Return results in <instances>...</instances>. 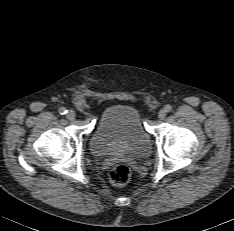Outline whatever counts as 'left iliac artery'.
<instances>
[{
	"label": "left iliac artery",
	"instance_id": "44dca946",
	"mask_svg": "<svg viewBox=\"0 0 234 231\" xmlns=\"http://www.w3.org/2000/svg\"><path fill=\"white\" fill-rule=\"evenodd\" d=\"M165 110H166V112H171V110H172V106L171 105H166L165 106Z\"/></svg>",
	"mask_w": 234,
	"mask_h": 231
}]
</instances>
